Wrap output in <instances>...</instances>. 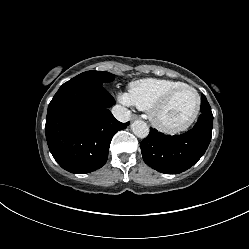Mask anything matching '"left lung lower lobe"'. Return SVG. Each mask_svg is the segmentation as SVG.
<instances>
[{
  "instance_id": "obj_1",
  "label": "left lung lower lobe",
  "mask_w": 249,
  "mask_h": 249,
  "mask_svg": "<svg viewBox=\"0 0 249 249\" xmlns=\"http://www.w3.org/2000/svg\"><path fill=\"white\" fill-rule=\"evenodd\" d=\"M212 112L202 113L195 126L182 135L169 136L150 128L141 142L145 163L166 174L181 173L204 155L211 140Z\"/></svg>"
}]
</instances>
